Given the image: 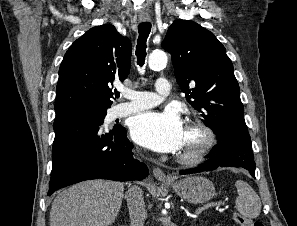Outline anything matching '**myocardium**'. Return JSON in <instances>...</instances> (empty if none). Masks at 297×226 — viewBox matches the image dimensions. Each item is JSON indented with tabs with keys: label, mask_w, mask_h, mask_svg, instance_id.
Wrapping results in <instances>:
<instances>
[{
	"label": "myocardium",
	"mask_w": 297,
	"mask_h": 226,
	"mask_svg": "<svg viewBox=\"0 0 297 226\" xmlns=\"http://www.w3.org/2000/svg\"><path fill=\"white\" fill-rule=\"evenodd\" d=\"M186 128L195 130L201 137L198 146L186 153L180 152L176 159L183 165H197L201 163L211 152L216 144V135L213 129L201 119H192L187 123Z\"/></svg>",
	"instance_id": "obj_1"
}]
</instances>
